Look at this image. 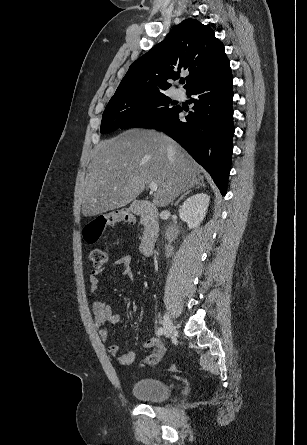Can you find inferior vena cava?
I'll list each match as a JSON object with an SVG mask.
<instances>
[{"label": "inferior vena cava", "instance_id": "inferior-vena-cava-1", "mask_svg": "<svg viewBox=\"0 0 307 445\" xmlns=\"http://www.w3.org/2000/svg\"><path fill=\"white\" fill-rule=\"evenodd\" d=\"M169 148H173V146H170V144H169Z\"/></svg>", "mask_w": 307, "mask_h": 445}]
</instances>
